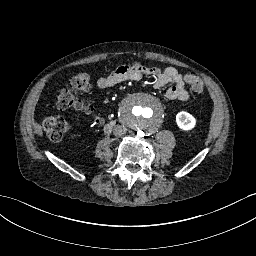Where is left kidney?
<instances>
[{
	"instance_id": "obj_1",
	"label": "left kidney",
	"mask_w": 256,
	"mask_h": 256,
	"mask_svg": "<svg viewBox=\"0 0 256 256\" xmlns=\"http://www.w3.org/2000/svg\"><path fill=\"white\" fill-rule=\"evenodd\" d=\"M177 127L183 131H190L196 126V119L186 111H180L176 115Z\"/></svg>"
}]
</instances>
